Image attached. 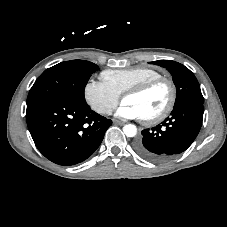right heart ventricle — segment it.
Wrapping results in <instances>:
<instances>
[{"instance_id": "obj_1", "label": "right heart ventricle", "mask_w": 227, "mask_h": 227, "mask_svg": "<svg viewBox=\"0 0 227 227\" xmlns=\"http://www.w3.org/2000/svg\"><path fill=\"white\" fill-rule=\"evenodd\" d=\"M156 69L137 66L123 70H105L101 73L102 81L118 95L148 80L161 77Z\"/></svg>"}]
</instances>
